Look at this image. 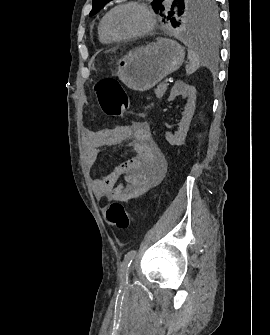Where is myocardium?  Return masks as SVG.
<instances>
[{"label":"myocardium","instance_id":"obj_1","mask_svg":"<svg viewBox=\"0 0 270 335\" xmlns=\"http://www.w3.org/2000/svg\"><path fill=\"white\" fill-rule=\"evenodd\" d=\"M124 5H135L141 8V10L144 12V14L146 15L148 19V25L144 30L137 32V33L128 34V35H118V34H115L110 29L109 20H110L111 15L113 14V12H115L117 9L121 8ZM155 25H156V18L153 12L144 3L135 1V0L123 1L117 4L105 15L103 19V28L106 34L115 40H134V39L145 37L154 30ZM140 51L141 49L137 48L135 50H132L131 52H140Z\"/></svg>","mask_w":270,"mask_h":335}]
</instances>
